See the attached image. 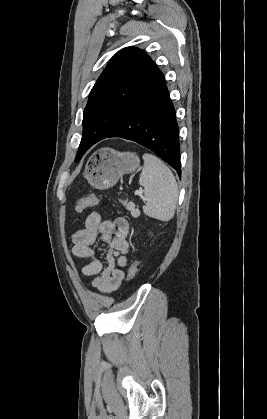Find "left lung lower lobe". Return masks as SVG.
<instances>
[{
	"mask_svg": "<svg viewBox=\"0 0 267 419\" xmlns=\"http://www.w3.org/2000/svg\"><path fill=\"white\" fill-rule=\"evenodd\" d=\"M107 122L89 136L88 149L105 138L132 140L155 152L181 176L178 124L161 71L138 92L125 111L111 114Z\"/></svg>",
	"mask_w": 267,
	"mask_h": 419,
	"instance_id": "left-lung-lower-lobe-1",
	"label": "left lung lower lobe"
}]
</instances>
